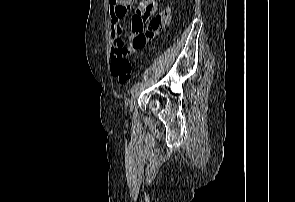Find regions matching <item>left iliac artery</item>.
Segmentation results:
<instances>
[{
	"mask_svg": "<svg viewBox=\"0 0 295 202\" xmlns=\"http://www.w3.org/2000/svg\"><path fill=\"white\" fill-rule=\"evenodd\" d=\"M142 85V82L135 83L132 88L131 92L133 93L135 90H137Z\"/></svg>",
	"mask_w": 295,
	"mask_h": 202,
	"instance_id": "44dca946",
	"label": "left iliac artery"
}]
</instances>
